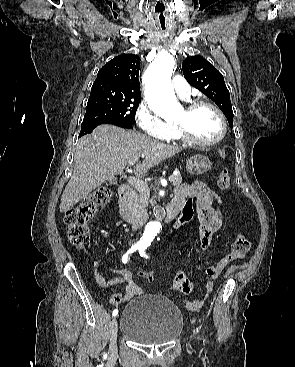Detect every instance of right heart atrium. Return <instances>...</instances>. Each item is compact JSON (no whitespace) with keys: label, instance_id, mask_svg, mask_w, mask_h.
<instances>
[{"label":"right heart atrium","instance_id":"right-heart-atrium-1","mask_svg":"<svg viewBox=\"0 0 295 367\" xmlns=\"http://www.w3.org/2000/svg\"><path fill=\"white\" fill-rule=\"evenodd\" d=\"M136 122L141 130L157 139H168L175 127L164 121L157 112L146 103H141L136 111Z\"/></svg>","mask_w":295,"mask_h":367}]
</instances>
